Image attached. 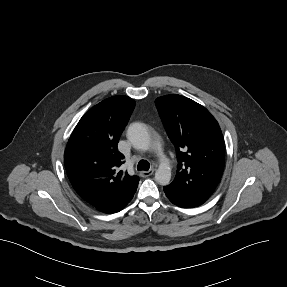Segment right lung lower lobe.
Here are the masks:
<instances>
[{
    "mask_svg": "<svg viewBox=\"0 0 287 287\" xmlns=\"http://www.w3.org/2000/svg\"><path fill=\"white\" fill-rule=\"evenodd\" d=\"M136 189L137 188L92 206L94 209L102 213L112 214L119 212L132 200Z\"/></svg>",
    "mask_w": 287,
    "mask_h": 287,
    "instance_id": "1",
    "label": "right lung lower lobe"
}]
</instances>
